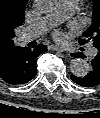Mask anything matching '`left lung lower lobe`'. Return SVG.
I'll return each instance as SVG.
<instances>
[{
    "instance_id": "obj_1",
    "label": "left lung lower lobe",
    "mask_w": 100,
    "mask_h": 118,
    "mask_svg": "<svg viewBox=\"0 0 100 118\" xmlns=\"http://www.w3.org/2000/svg\"><path fill=\"white\" fill-rule=\"evenodd\" d=\"M71 55L73 57H84L83 54L77 55L76 53H72ZM91 66V71L85 77H77L75 75H71L72 81L84 87H94L100 85V50L94 59H92Z\"/></svg>"
}]
</instances>
